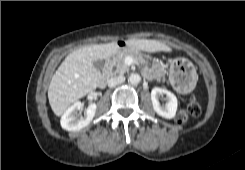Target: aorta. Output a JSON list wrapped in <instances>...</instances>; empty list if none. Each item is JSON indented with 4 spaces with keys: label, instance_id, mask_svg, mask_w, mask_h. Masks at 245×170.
I'll use <instances>...</instances> for the list:
<instances>
[{
    "label": "aorta",
    "instance_id": "obj_1",
    "mask_svg": "<svg viewBox=\"0 0 245 170\" xmlns=\"http://www.w3.org/2000/svg\"><path fill=\"white\" fill-rule=\"evenodd\" d=\"M129 81L132 83V84H138L140 81H141V77L139 74L137 73H132L130 76H129Z\"/></svg>",
    "mask_w": 245,
    "mask_h": 170
}]
</instances>
